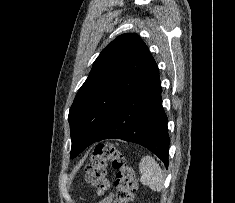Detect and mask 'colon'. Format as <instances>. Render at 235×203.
I'll use <instances>...</instances> for the list:
<instances>
[{
	"mask_svg": "<svg viewBox=\"0 0 235 203\" xmlns=\"http://www.w3.org/2000/svg\"><path fill=\"white\" fill-rule=\"evenodd\" d=\"M115 171L116 195L113 203H130L134 200L137 183L132 167L122 152L112 144H100L95 147L90 163L85 169L86 182L98 193L109 187L108 167Z\"/></svg>",
	"mask_w": 235,
	"mask_h": 203,
	"instance_id": "5ec220e1",
	"label": "colon"
}]
</instances>
